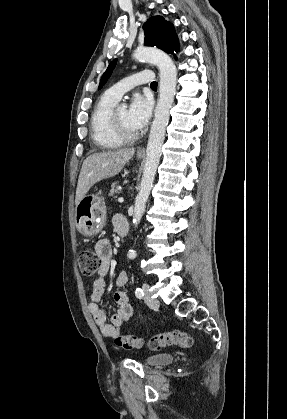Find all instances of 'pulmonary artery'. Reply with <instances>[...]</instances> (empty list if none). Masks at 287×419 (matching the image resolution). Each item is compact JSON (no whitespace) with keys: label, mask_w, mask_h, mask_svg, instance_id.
Here are the masks:
<instances>
[{"label":"pulmonary artery","mask_w":287,"mask_h":419,"mask_svg":"<svg viewBox=\"0 0 287 419\" xmlns=\"http://www.w3.org/2000/svg\"><path fill=\"white\" fill-rule=\"evenodd\" d=\"M154 81L155 76L153 72L150 70H143L120 80L119 82L111 86L106 91V93L112 98L119 100L125 92L132 89L133 87L140 84L152 83Z\"/></svg>","instance_id":"pulmonary-artery-1"}]
</instances>
